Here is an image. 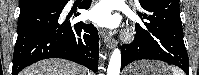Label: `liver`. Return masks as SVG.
Returning a JSON list of instances; mask_svg holds the SVG:
<instances>
[{"mask_svg":"<svg viewBox=\"0 0 199 75\" xmlns=\"http://www.w3.org/2000/svg\"><path fill=\"white\" fill-rule=\"evenodd\" d=\"M80 65L62 59L39 61L20 72V75H87Z\"/></svg>","mask_w":199,"mask_h":75,"instance_id":"1","label":"liver"}]
</instances>
